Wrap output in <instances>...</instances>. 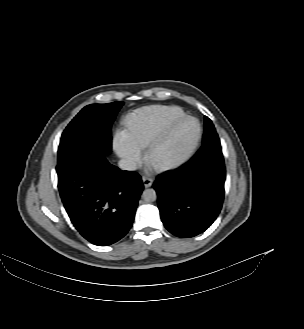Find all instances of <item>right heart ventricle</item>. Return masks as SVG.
I'll list each match as a JSON object with an SVG mask.
<instances>
[{
    "mask_svg": "<svg viewBox=\"0 0 304 329\" xmlns=\"http://www.w3.org/2000/svg\"><path fill=\"white\" fill-rule=\"evenodd\" d=\"M185 115L178 106H150L137 110L128 119V132L135 143L146 149L175 119Z\"/></svg>",
    "mask_w": 304,
    "mask_h": 329,
    "instance_id": "right-heart-ventricle-1",
    "label": "right heart ventricle"
}]
</instances>
